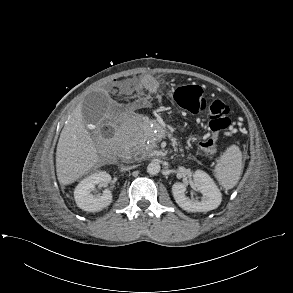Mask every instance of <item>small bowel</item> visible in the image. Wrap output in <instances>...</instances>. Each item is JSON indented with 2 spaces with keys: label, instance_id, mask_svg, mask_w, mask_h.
<instances>
[{
  "label": "small bowel",
  "instance_id": "obj_1",
  "mask_svg": "<svg viewBox=\"0 0 293 293\" xmlns=\"http://www.w3.org/2000/svg\"><path fill=\"white\" fill-rule=\"evenodd\" d=\"M131 86L139 87L147 95H155L158 90V81L151 75L145 74L139 77V79H131ZM144 97H141L139 102H142Z\"/></svg>",
  "mask_w": 293,
  "mask_h": 293
}]
</instances>
